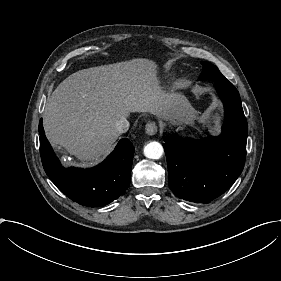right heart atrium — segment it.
<instances>
[{
	"label": "right heart atrium",
	"mask_w": 281,
	"mask_h": 281,
	"mask_svg": "<svg viewBox=\"0 0 281 281\" xmlns=\"http://www.w3.org/2000/svg\"><path fill=\"white\" fill-rule=\"evenodd\" d=\"M108 117L112 121H118L126 117V111L120 103H115L111 108Z\"/></svg>",
	"instance_id": "right-heart-atrium-1"
}]
</instances>
